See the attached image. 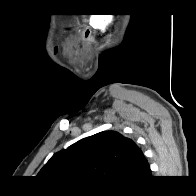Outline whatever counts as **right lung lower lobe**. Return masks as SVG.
Wrapping results in <instances>:
<instances>
[{"label":"right lung lower lobe","mask_w":196,"mask_h":196,"mask_svg":"<svg viewBox=\"0 0 196 196\" xmlns=\"http://www.w3.org/2000/svg\"><path fill=\"white\" fill-rule=\"evenodd\" d=\"M150 176H148L147 178H149ZM144 182V180L138 184H132V185H126V187H134V186H139L140 184H142Z\"/></svg>","instance_id":"1"}]
</instances>
